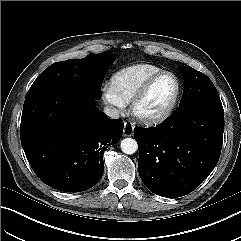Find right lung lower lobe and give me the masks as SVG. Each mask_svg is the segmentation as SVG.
Here are the masks:
<instances>
[{
    "mask_svg": "<svg viewBox=\"0 0 241 241\" xmlns=\"http://www.w3.org/2000/svg\"><path fill=\"white\" fill-rule=\"evenodd\" d=\"M95 99L69 81L48 82L27 92L21 144L31 168L46 185L81 192L101 179L103 153L120 141L124 125L96 109Z\"/></svg>",
    "mask_w": 241,
    "mask_h": 241,
    "instance_id": "1",
    "label": "right lung lower lobe"
}]
</instances>
